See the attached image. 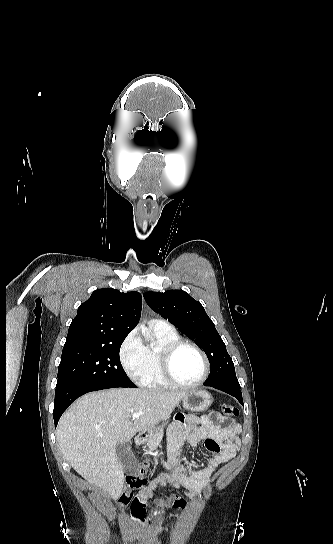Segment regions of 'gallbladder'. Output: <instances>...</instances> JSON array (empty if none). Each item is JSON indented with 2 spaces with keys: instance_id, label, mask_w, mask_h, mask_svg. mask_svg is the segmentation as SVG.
Returning <instances> with one entry per match:
<instances>
[{
  "instance_id": "obj_1",
  "label": "gallbladder",
  "mask_w": 333,
  "mask_h": 544,
  "mask_svg": "<svg viewBox=\"0 0 333 544\" xmlns=\"http://www.w3.org/2000/svg\"><path fill=\"white\" fill-rule=\"evenodd\" d=\"M116 455L121 461L125 473L136 475L139 465L127 442L116 445Z\"/></svg>"
}]
</instances>
